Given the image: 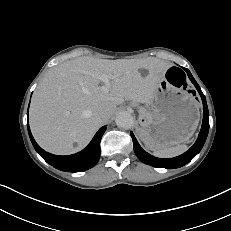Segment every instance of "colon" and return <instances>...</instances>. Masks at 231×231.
Returning a JSON list of instances; mask_svg holds the SVG:
<instances>
[{"label":"colon","instance_id":"colon-1","mask_svg":"<svg viewBox=\"0 0 231 231\" xmlns=\"http://www.w3.org/2000/svg\"><path fill=\"white\" fill-rule=\"evenodd\" d=\"M169 79L171 82L179 88H184L186 87V80L184 74L176 69V68H171L168 72Z\"/></svg>","mask_w":231,"mask_h":231}]
</instances>
